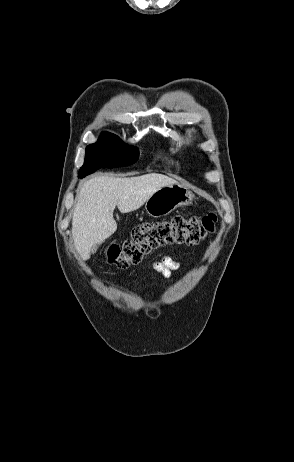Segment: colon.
Here are the masks:
<instances>
[{
	"mask_svg": "<svg viewBox=\"0 0 294 462\" xmlns=\"http://www.w3.org/2000/svg\"><path fill=\"white\" fill-rule=\"evenodd\" d=\"M217 215L202 217L176 215L170 219L144 223L133 229L123 244H112L107 250V262L119 269L138 264L144 255L159 247L172 244L198 245L215 233Z\"/></svg>",
	"mask_w": 294,
	"mask_h": 462,
	"instance_id": "1",
	"label": "colon"
}]
</instances>
